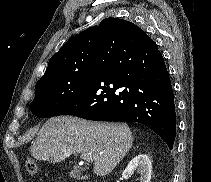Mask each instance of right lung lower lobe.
<instances>
[{"mask_svg":"<svg viewBox=\"0 0 211 182\" xmlns=\"http://www.w3.org/2000/svg\"><path fill=\"white\" fill-rule=\"evenodd\" d=\"M94 121H133L155 131L173 148L176 114L164 59L151 39L134 42L121 30L98 39L83 91L59 114Z\"/></svg>","mask_w":211,"mask_h":182,"instance_id":"right-lung-lower-lobe-1","label":"right lung lower lobe"}]
</instances>
